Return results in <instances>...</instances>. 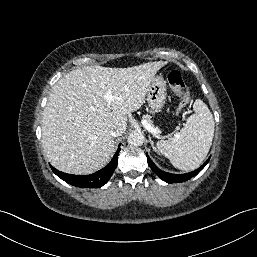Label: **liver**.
Listing matches in <instances>:
<instances>
[{"label":"liver","mask_w":257,"mask_h":257,"mask_svg":"<svg viewBox=\"0 0 257 257\" xmlns=\"http://www.w3.org/2000/svg\"><path fill=\"white\" fill-rule=\"evenodd\" d=\"M165 64L87 66L63 76L43 111L42 146L48 161L70 174H91L104 167L114 152L110 132H125L127 115L142 106L153 77ZM108 91L115 98L109 108L104 98Z\"/></svg>","instance_id":"1"}]
</instances>
